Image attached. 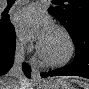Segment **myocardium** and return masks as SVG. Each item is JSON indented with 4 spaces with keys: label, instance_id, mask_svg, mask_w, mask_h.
I'll return each mask as SVG.
<instances>
[{
    "label": "myocardium",
    "instance_id": "1",
    "mask_svg": "<svg viewBox=\"0 0 89 89\" xmlns=\"http://www.w3.org/2000/svg\"><path fill=\"white\" fill-rule=\"evenodd\" d=\"M54 29L57 30L58 32H60L66 39L67 47H68L66 55L62 59L51 60L45 55V53L42 49V46L39 43L37 45V53H38V56H39L41 62L44 65L49 66V67H61V66L68 64L71 61V59L73 58L74 52H75V45H74L72 36L70 35V33L68 32V30L65 27H63L61 25H56V26H54Z\"/></svg>",
    "mask_w": 89,
    "mask_h": 89
}]
</instances>
